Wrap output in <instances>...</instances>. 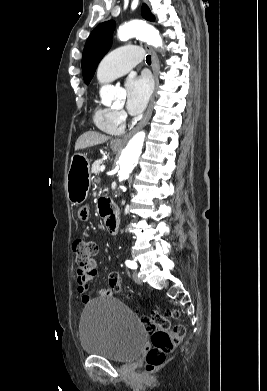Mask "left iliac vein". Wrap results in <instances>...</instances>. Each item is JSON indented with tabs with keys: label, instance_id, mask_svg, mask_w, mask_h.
Wrapping results in <instances>:
<instances>
[{
	"label": "left iliac vein",
	"instance_id": "1",
	"mask_svg": "<svg viewBox=\"0 0 267 391\" xmlns=\"http://www.w3.org/2000/svg\"><path fill=\"white\" fill-rule=\"evenodd\" d=\"M132 278H133L135 283H137V284H141L142 283L141 279L138 276V272L137 271L133 272Z\"/></svg>",
	"mask_w": 267,
	"mask_h": 391
}]
</instances>
